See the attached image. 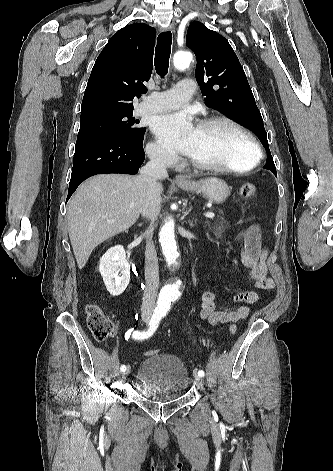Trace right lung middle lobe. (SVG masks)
I'll return each mask as SVG.
<instances>
[{
	"label": "right lung middle lobe",
	"mask_w": 333,
	"mask_h": 471,
	"mask_svg": "<svg viewBox=\"0 0 333 471\" xmlns=\"http://www.w3.org/2000/svg\"><path fill=\"white\" fill-rule=\"evenodd\" d=\"M133 110L103 113L80 121L78 135L89 133H112L132 141L141 142L146 128L138 127V120L132 117Z\"/></svg>",
	"instance_id": "1"
}]
</instances>
